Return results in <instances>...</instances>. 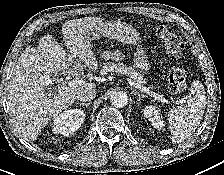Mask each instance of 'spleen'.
<instances>
[{
	"instance_id": "spleen-1",
	"label": "spleen",
	"mask_w": 224,
	"mask_h": 175,
	"mask_svg": "<svg viewBox=\"0 0 224 175\" xmlns=\"http://www.w3.org/2000/svg\"><path fill=\"white\" fill-rule=\"evenodd\" d=\"M206 96L201 81H193L187 103L171 109L168 123L173 143H180L192 135L204 114Z\"/></svg>"
}]
</instances>
